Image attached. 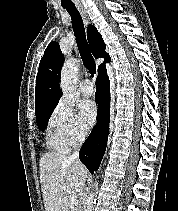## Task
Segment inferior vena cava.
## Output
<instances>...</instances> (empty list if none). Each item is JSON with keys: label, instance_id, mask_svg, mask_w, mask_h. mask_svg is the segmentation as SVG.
<instances>
[{"label": "inferior vena cava", "instance_id": "1", "mask_svg": "<svg viewBox=\"0 0 178 211\" xmlns=\"http://www.w3.org/2000/svg\"><path fill=\"white\" fill-rule=\"evenodd\" d=\"M77 139H78V142L81 144L85 139V132L81 131ZM78 156H79V148L75 150L69 158L72 161H76L78 160Z\"/></svg>", "mask_w": 178, "mask_h": 211}]
</instances>
